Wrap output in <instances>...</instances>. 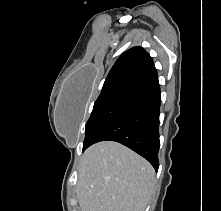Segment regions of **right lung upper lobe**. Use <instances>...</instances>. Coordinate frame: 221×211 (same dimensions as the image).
<instances>
[{"mask_svg": "<svg viewBox=\"0 0 221 211\" xmlns=\"http://www.w3.org/2000/svg\"><path fill=\"white\" fill-rule=\"evenodd\" d=\"M158 81L157 71L150 55L141 47L124 52L110 70L102 93L116 89L138 90Z\"/></svg>", "mask_w": 221, "mask_h": 211, "instance_id": "1", "label": "right lung upper lobe"}]
</instances>
